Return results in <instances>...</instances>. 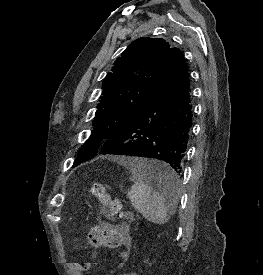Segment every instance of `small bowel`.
<instances>
[{"label":"small bowel","instance_id":"small-bowel-1","mask_svg":"<svg viewBox=\"0 0 263 275\" xmlns=\"http://www.w3.org/2000/svg\"><path fill=\"white\" fill-rule=\"evenodd\" d=\"M112 228L116 231L119 237L118 247L124 249L121 252V256L124 257L126 255V250L131 245L130 226L127 223H120L112 226ZM124 275H137V274L128 273Z\"/></svg>","mask_w":263,"mask_h":275}]
</instances>
